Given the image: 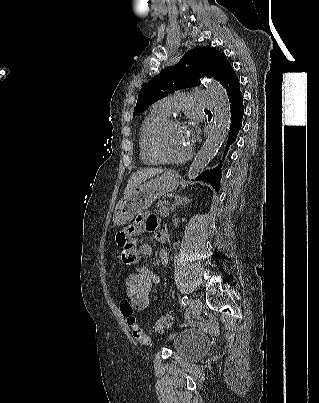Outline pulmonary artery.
<instances>
[{
  "instance_id": "1",
  "label": "pulmonary artery",
  "mask_w": 319,
  "mask_h": 403,
  "mask_svg": "<svg viewBox=\"0 0 319 403\" xmlns=\"http://www.w3.org/2000/svg\"><path fill=\"white\" fill-rule=\"evenodd\" d=\"M209 108L214 105L212 95L206 91H194L191 95L176 94L170 95L155 104V107L166 114L177 112L189 106Z\"/></svg>"
}]
</instances>
